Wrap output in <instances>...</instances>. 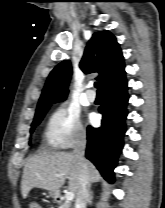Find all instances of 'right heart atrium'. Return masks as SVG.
<instances>
[{"mask_svg":"<svg viewBox=\"0 0 165 208\" xmlns=\"http://www.w3.org/2000/svg\"><path fill=\"white\" fill-rule=\"evenodd\" d=\"M48 145L55 149H66L85 139V130L77 108L63 104L49 117L45 129Z\"/></svg>","mask_w":165,"mask_h":208,"instance_id":"obj_1","label":"right heart atrium"}]
</instances>
